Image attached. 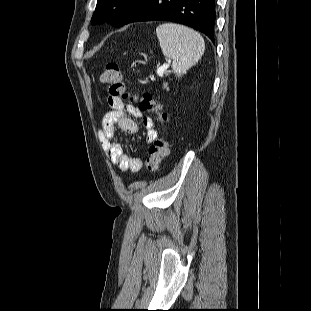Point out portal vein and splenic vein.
Returning a JSON list of instances; mask_svg holds the SVG:
<instances>
[{"instance_id": "1", "label": "portal vein and splenic vein", "mask_w": 311, "mask_h": 311, "mask_svg": "<svg viewBox=\"0 0 311 311\" xmlns=\"http://www.w3.org/2000/svg\"><path fill=\"white\" fill-rule=\"evenodd\" d=\"M163 72H164V69H163V68L157 69V74H158L159 76H162V75H163Z\"/></svg>"}]
</instances>
